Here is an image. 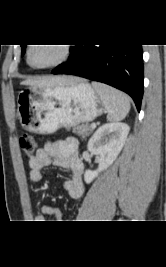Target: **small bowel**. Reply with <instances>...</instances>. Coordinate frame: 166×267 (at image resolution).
<instances>
[{"mask_svg":"<svg viewBox=\"0 0 166 267\" xmlns=\"http://www.w3.org/2000/svg\"><path fill=\"white\" fill-rule=\"evenodd\" d=\"M50 165L69 172L70 178L65 182L64 188L73 200L81 199L84 194L82 181L84 165L79 155L78 142L73 138L46 142L29 159L30 180L35 183L40 182L43 179V169ZM61 217V212L57 207L43 205L35 218L38 222H43L47 218L60 220Z\"/></svg>","mask_w":166,"mask_h":267,"instance_id":"c3829d8e","label":"small bowel"}]
</instances>
